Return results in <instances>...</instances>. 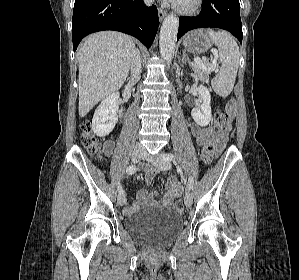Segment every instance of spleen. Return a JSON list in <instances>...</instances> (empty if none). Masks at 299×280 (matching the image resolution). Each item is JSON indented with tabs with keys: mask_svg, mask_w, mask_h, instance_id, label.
Segmentation results:
<instances>
[{
	"mask_svg": "<svg viewBox=\"0 0 299 280\" xmlns=\"http://www.w3.org/2000/svg\"><path fill=\"white\" fill-rule=\"evenodd\" d=\"M206 33L218 47L221 67L211 85L214 92L221 96H228L234 87L238 65H239V47L233 37L223 31H213L208 29Z\"/></svg>",
	"mask_w": 299,
	"mask_h": 280,
	"instance_id": "obj_1",
	"label": "spleen"
}]
</instances>
